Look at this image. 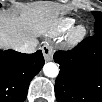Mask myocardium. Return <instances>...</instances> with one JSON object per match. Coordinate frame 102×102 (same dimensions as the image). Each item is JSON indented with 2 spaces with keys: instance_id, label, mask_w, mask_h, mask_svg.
Segmentation results:
<instances>
[{
  "instance_id": "obj_1",
  "label": "myocardium",
  "mask_w": 102,
  "mask_h": 102,
  "mask_svg": "<svg viewBox=\"0 0 102 102\" xmlns=\"http://www.w3.org/2000/svg\"><path fill=\"white\" fill-rule=\"evenodd\" d=\"M84 33V29L81 27L75 34L68 40V44H72L74 40H77L79 37H81Z\"/></svg>"
}]
</instances>
